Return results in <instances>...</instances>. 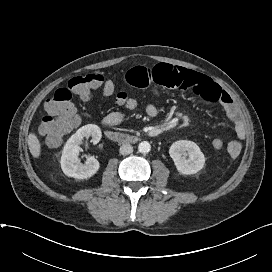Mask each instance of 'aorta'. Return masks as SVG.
Instances as JSON below:
<instances>
[{"label":"aorta","mask_w":272,"mask_h":272,"mask_svg":"<svg viewBox=\"0 0 272 272\" xmlns=\"http://www.w3.org/2000/svg\"><path fill=\"white\" fill-rule=\"evenodd\" d=\"M138 150L141 153H148L151 150V146H150L149 142L143 141V142L139 143Z\"/></svg>","instance_id":"obj_1"}]
</instances>
